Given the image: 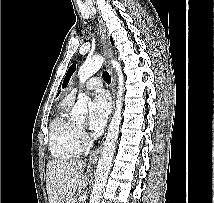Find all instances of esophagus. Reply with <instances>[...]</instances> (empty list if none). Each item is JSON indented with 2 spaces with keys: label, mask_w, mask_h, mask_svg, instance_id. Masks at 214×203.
I'll return each instance as SVG.
<instances>
[{
  "label": "esophagus",
  "mask_w": 214,
  "mask_h": 203,
  "mask_svg": "<svg viewBox=\"0 0 214 203\" xmlns=\"http://www.w3.org/2000/svg\"><path fill=\"white\" fill-rule=\"evenodd\" d=\"M98 25H99V31H100V37H101V43L103 46V52H104V56L108 59V62L106 64V68L110 74L111 77V92H112V98H113V105H112V112L114 110V106H115V86H116V80H115V76L113 73V69L110 65L109 59L112 57V48L110 46V42H109V38L108 35L106 33V28L104 26V23L101 19L98 18ZM103 143H104V138L102 139L100 145L98 146V148L94 151L93 155L90 157L89 160V165L93 166L96 164L100 153L102 151V147H103Z\"/></svg>",
  "instance_id": "1"
}]
</instances>
